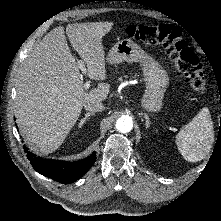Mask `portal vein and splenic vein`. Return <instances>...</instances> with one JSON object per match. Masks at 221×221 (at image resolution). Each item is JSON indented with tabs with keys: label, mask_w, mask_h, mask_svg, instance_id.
<instances>
[{
	"label": "portal vein and splenic vein",
	"mask_w": 221,
	"mask_h": 221,
	"mask_svg": "<svg viewBox=\"0 0 221 221\" xmlns=\"http://www.w3.org/2000/svg\"><path fill=\"white\" fill-rule=\"evenodd\" d=\"M78 65H79V68H80V70L82 71V73L86 74L87 71H86L84 62L80 60V61H78ZM89 88H90V82H89V81H86V82L84 83V89H85V90H88Z\"/></svg>",
	"instance_id": "portal-vein-and-splenic-vein-1"
}]
</instances>
